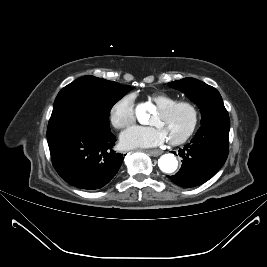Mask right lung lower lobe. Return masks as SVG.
Returning a JSON list of instances; mask_svg holds the SVG:
<instances>
[{
	"instance_id": "obj_1",
	"label": "right lung lower lobe",
	"mask_w": 267,
	"mask_h": 267,
	"mask_svg": "<svg viewBox=\"0 0 267 267\" xmlns=\"http://www.w3.org/2000/svg\"><path fill=\"white\" fill-rule=\"evenodd\" d=\"M47 140L57 173L81 189L108 184L124 159L112 150L116 138L110 128L82 120L69 119L48 127Z\"/></svg>"
}]
</instances>
